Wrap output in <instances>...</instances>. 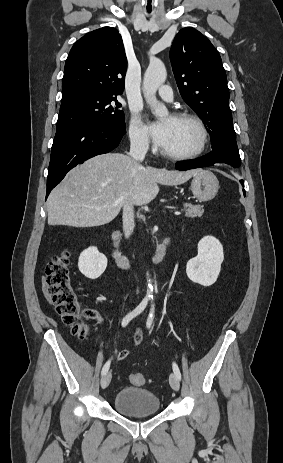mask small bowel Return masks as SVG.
<instances>
[{"label":"small bowel","instance_id":"c3829d8e","mask_svg":"<svg viewBox=\"0 0 283 463\" xmlns=\"http://www.w3.org/2000/svg\"><path fill=\"white\" fill-rule=\"evenodd\" d=\"M141 340H142V335H141L140 332H137L136 335H135V342H136V344H139V343L141 342ZM126 356H127V351H122V352H120V353L118 354L117 358H118L119 360H122V359H124Z\"/></svg>","mask_w":283,"mask_h":463}]
</instances>
